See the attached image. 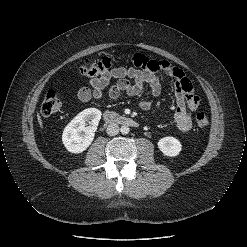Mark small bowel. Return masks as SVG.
<instances>
[{
	"label": "small bowel",
	"mask_w": 247,
	"mask_h": 247,
	"mask_svg": "<svg viewBox=\"0 0 247 247\" xmlns=\"http://www.w3.org/2000/svg\"><path fill=\"white\" fill-rule=\"evenodd\" d=\"M136 67H116L110 71L89 80V86L78 92V99L87 102L90 99L102 100L107 90L110 99H117L121 94L137 96L146 86L150 89V98L140 102V108L148 111L153 107L154 99L159 97L162 91L161 77L166 75L172 79L176 110L174 121L181 133H188L192 127L190 111L196 110L200 105V98L194 93L190 80L183 71L165 60L149 59L142 54H136L132 58ZM116 80L111 84L112 80ZM133 81V82H131Z\"/></svg>",
	"instance_id": "small-bowel-1"
}]
</instances>
